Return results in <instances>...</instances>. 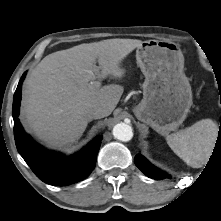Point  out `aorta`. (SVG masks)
Masks as SVG:
<instances>
[{"mask_svg": "<svg viewBox=\"0 0 221 221\" xmlns=\"http://www.w3.org/2000/svg\"><path fill=\"white\" fill-rule=\"evenodd\" d=\"M113 136L123 142H127L133 137L132 127L124 122L118 123L113 128Z\"/></svg>", "mask_w": 221, "mask_h": 221, "instance_id": "762f6f07", "label": "aorta"}]
</instances>
